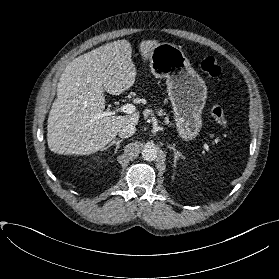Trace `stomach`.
Here are the masks:
<instances>
[{
    "instance_id": "1",
    "label": "stomach",
    "mask_w": 279,
    "mask_h": 279,
    "mask_svg": "<svg viewBox=\"0 0 279 279\" xmlns=\"http://www.w3.org/2000/svg\"><path fill=\"white\" fill-rule=\"evenodd\" d=\"M149 62L156 78H166L179 136L185 141L194 140L202 128L201 114L207 99L204 80L183 51L170 43L155 45L149 53Z\"/></svg>"
}]
</instances>
